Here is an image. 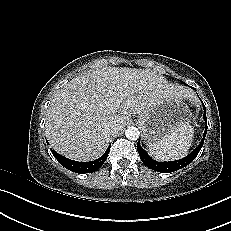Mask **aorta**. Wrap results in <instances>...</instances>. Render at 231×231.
<instances>
[{"instance_id":"obj_1","label":"aorta","mask_w":231,"mask_h":231,"mask_svg":"<svg viewBox=\"0 0 231 231\" xmlns=\"http://www.w3.org/2000/svg\"><path fill=\"white\" fill-rule=\"evenodd\" d=\"M140 131L136 127H128L125 131V136L129 140H137L139 138Z\"/></svg>"}]
</instances>
